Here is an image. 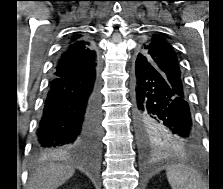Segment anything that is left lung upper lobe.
<instances>
[{"label": "left lung upper lobe", "instance_id": "1", "mask_svg": "<svg viewBox=\"0 0 223 189\" xmlns=\"http://www.w3.org/2000/svg\"><path fill=\"white\" fill-rule=\"evenodd\" d=\"M139 59L155 67L170 83L175 84L186 94L177 56L172 46L164 38L159 35H152L147 38L141 44L136 60ZM139 135L143 144L149 146L176 149L191 148L180 144L177 138L160 126H149L140 131Z\"/></svg>", "mask_w": 223, "mask_h": 189}]
</instances>
